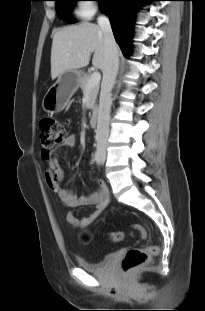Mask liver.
<instances>
[{
  "label": "liver",
  "mask_w": 205,
  "mask_h": 311,
  "mask_svg": "<svg viewBox=\"0 0 205 311\" xmlns=\"http://www.w3.org/2000/svg\"><path fill=\"white\" fill-rule=\"evenodd\" d=\"M92 53V65L103 71L105 43L99 25L83 22L57 30L51 48V78L86 67Z\"/></svg>",
  "instance_id": "liver-1"
}]
</instances>
